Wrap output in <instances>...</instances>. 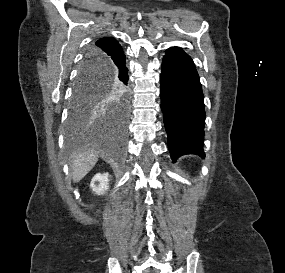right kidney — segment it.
<instances>
[{"instance_id": "ca27d5eb", "label": "right kidney", "mask_w": 285, "mask_h": 273, "mask_svg": "<svg viewBox=\"0 0 285 273\" xmlns=\"http://www.w3.org/2000/svg\"><path fill=\"white\" fill-rule=\"evenodd\" d=\"M108 184H109L108 173L104 174L98 173L92 178V181L90 183V188L96 194L101 195L108 190L109 187Z\"/></svg>"}]
</instances>
